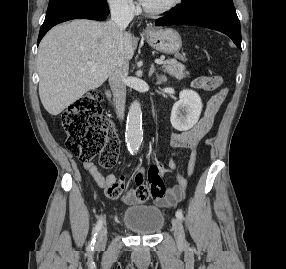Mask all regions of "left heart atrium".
<instances>
[{
  "instance_id": "left-heart-atrium-1",
  "label": "left heart atrium",
  "mask_w": 286,
  "mask_h": 269,
  "mask_svg": "<svg viewBox=\"0 0 286 269\" xmlns=\"http://www.w3.org/2000/svg\"><path fill=\"white\" fill-rule=\"evenodd\" d=\"M142 4L146 1V0H139Z\"/></svg>"
}]
</instances>
